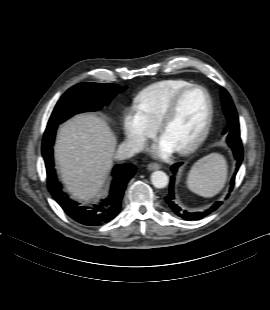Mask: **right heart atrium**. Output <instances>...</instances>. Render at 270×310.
Wrapping results in <instances>:
<instances>
[{
  "label": "right heart atrium",
  "instance_id": "1",
  "mask_svg": "<svg viewBox=\"0 0 270 310\" xmlns=\"http://www.w3.org/2000/svg\"><path fill=\"white\" fill-rule=\"evenodd\" d=\"M123 131L127 141L133 146L141 147L156 132V125L150 122L141 107L128 105L122 117Z\"/></svg>",
  "mask_w": 270,
  "mask_h": 310
}]
</instances>
